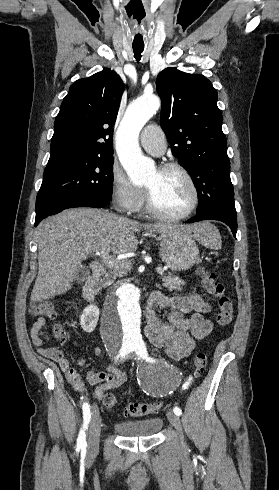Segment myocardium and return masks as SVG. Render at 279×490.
<instances>
[{
  "label": "myocardium",
  "mask_w": 279,
  "mask_h": 490,
  "mask_svg": "<svg viewBox=\"0 0 279 490\" xmlns=\"http://www.w3.org/2000/svg\"><path fill=\"white\" fill-rule=\"evenodd\" d=\"M159 171H175L180 173L186 179L191 188L192 200L182 212L178 214H166L157 208L151 195V189L147 187V208L149 213L163 221L175 222L185 219L195 211L200 201L199 189L194 178L185 167L178 163H166L160 167Z\"/></svg>",
  "instance_id": "f54148a6"
}]
</instances>
